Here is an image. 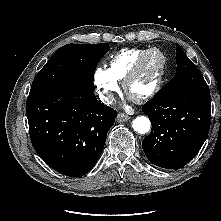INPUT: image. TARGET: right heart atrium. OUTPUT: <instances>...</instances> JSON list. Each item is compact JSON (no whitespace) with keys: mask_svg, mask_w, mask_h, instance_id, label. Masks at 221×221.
Listing matches in <instances>:
<instances>
[{"mask_svg":"<svg viewBox=\"0 0 221 221\" xmlns=\"http://www.w3.org/2000/svg\"><path fill=\"white\" fill-rule=\"evenodd\" d=\"M93 82L100 99L110 104L113 101L114 93L119 90L118 80L110 73L108 68H97Z\"/></svg>","mask_w":221,"mask_h":221,"instance_id":"right-heart-atrium-1","label":"right heart atrium"}]
</instances>
